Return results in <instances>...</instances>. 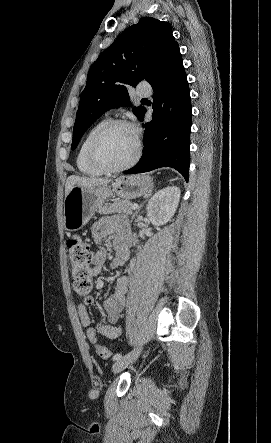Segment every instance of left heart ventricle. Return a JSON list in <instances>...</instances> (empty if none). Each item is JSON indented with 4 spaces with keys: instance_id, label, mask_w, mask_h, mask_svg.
I'll list each match as a JSON object with an SVG mask.
<instances>
[{
    "instance_id": "b2bd125f",
    "label": "left heart ventricle",
    "mask_w": 271,
    "mask_h": 443,
    "mask_svg": "<svg viewBox=\"0 0 271 443\" xmlns=\"http://www.w3.org/2000/svg\"><path fill=\"white\" fill-rule=\"evenodd\" d=\"M135 137L130 129L118 126L110 130L99 146L101 159L110 166L126 163L135 151Z\"/></svg>"
}]
</instances>
